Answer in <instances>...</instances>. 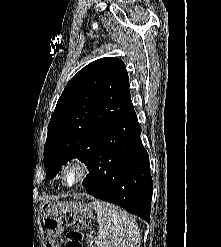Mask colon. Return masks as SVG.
Wrapping results in <instances>:
<instances>
[{
  "mask_svg": "<svg viewBox=\"0 0 221 247\" xmlns=\"http://www.w3.org/2000/svg\"><path fill=\"white\" fill-rule=\"evenodd\" d=\"M47 230L46 247H60L62 236L66 235V247H82L83 230L85 221L76 215H63L56 218H48L45 221Z\"/></svg>",
  "mask_w": 221,
  "mask_h": 247,
  "instance_id": "colon-1",
  "label": "colon"
}]
</instances>
